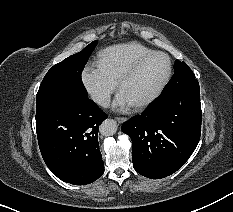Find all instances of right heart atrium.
Returning <instances> with one entry per match:
<instances>
[{
    "instance_id": "1",
    "label": "right heart atrium",
    "mask_w": 233,
    "mask_h": 212,
    "mask_svg": "<svg viewBox=\"0 0 233 212\" xmlns=\"http://www.w3.org/2000/svg\"><path fill=\"white\" fill-rule=\"evenodd\" d=\"M81 83L88 96L98 105L105 106L117 87L99 64H88L81 72Z\"/></svg>"
}]
</instances>
